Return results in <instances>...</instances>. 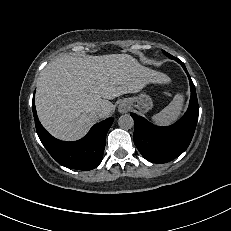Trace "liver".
Here are the masks:
<instances>
[{
  "label": "liver",
  "instance_id": "obj_1",
  "mask_svg": "<svg viewBox=\"0 0 231 231\" xmlns=\"http://www.w3.org/2000/svg\"><path fill=\"white\" fill-rule=\"evenodd\" d=\"M167 75L142 66L128 54L61 55L41 72L36 89L39 120L54 137L82 138L114 110L109 101L139 92L147 83H169ZM98 109L105 111L102 117Z\"/></svg>",
  "mask_w": 231,
  "mask_h": 231
}]
</instances>
